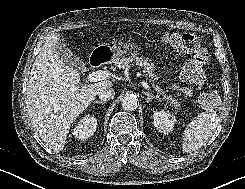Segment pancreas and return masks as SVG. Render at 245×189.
<instances>
[{"instance_id":"1","label":"pancreas","mask_w":245,"mask_h":189,"mask_svg":"<svg viewBox=\"0 0 245 189\" xmlns=\"http://www.w3.org/2000/svg\"><path fill=\"white\" fill-rule=\"evenodd\" d=\"M129 64L142 66L143 74L149 79V81L152 84V87L157 92L162 91V89L157 84H155V82L158 80V77L155 73L153 64L150 63L148 58L138 57V55L134 53L130 57H123L117 62L118 67L123 69L125 67H128ZM160 94L163 95L165 99L171 101L172 103L175 102V100L172 98L171 95L167 96L166 94H164V92H161Z\"/></svg>"}]
</instances>
